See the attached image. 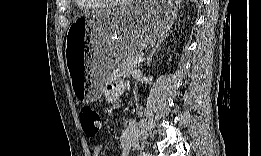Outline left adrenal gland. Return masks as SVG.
I'll use <instances>...</instances> for the list:
<instances>
[{
	"instance_id": "left-adrenal-gland-1",
	"label": "left adrenal gland",
	"mask_w": 261,
	"mask_h": 156,
	"mask_svg": "<svg viewBox=\"0 0 261 156\" xmlns=\"http://www.w3.org/2000/svg\"><path fill=\"white\" fill-rule=\"evenodd\" d=\"M164 41V39H161L157 45L155 46V48L151 51V53L149 54V56L147 57V60H146V65H149L152 61V57L153 55L156 53V51L158 50L159 46L161 45V43Z\"/></svg>"
}]
</instances>
